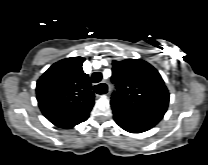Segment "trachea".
Wrapping results in <instances>:
<instances>
[{
    "instance_id": "trachea-1",
    "label": "trachea",
    "mask_w": 208,
    "mask_h": 165,
    "mask_svg": "<svg viewBox=\"0 0 208 165\" xmlns=\"http://www.w3.org/2000/svg\"><path fill=\"white\" fill-rule=\"evenodd\" d=\"M92 82L93 83H98L101 81L102 79V74L101 72H94L92 74ZM94 91L97 93V94H105L106 93V86L102 85V84H99V85H96L94 86Z\"/></svg>"
}]
</instances>
